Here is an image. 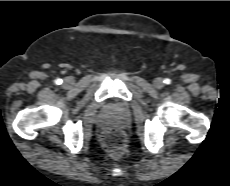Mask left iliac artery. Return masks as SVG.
Masks as SVG:
<instances>
[{
	"instance_id": "left-iliac-artery-1",
	"label": "left iliac artery",
	"mask_w": 230,
	"mask_h": 186,
	"mask_svg": "<svg viewBox=\"0 0 230 186\" xmlns=\"http://www.w3.org/2000/svg\"><path fill=\"white\" fill-rule=\"evenodd\" d=\"M164 83H165V84H170V83H171V80H170L169 78H166V79L164 80Z\"/></svg>"
}]
</instances>
